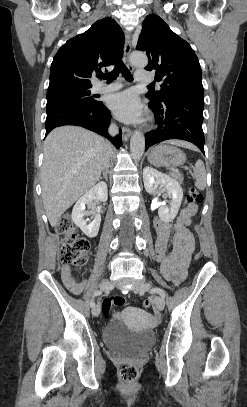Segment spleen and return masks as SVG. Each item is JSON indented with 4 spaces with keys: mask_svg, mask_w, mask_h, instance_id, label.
I'll list each match as a JSON object with an SVG mask.
<instances>
[{
    "mask_svg": "<svg viewBox=\"0 0 247 407\" xmlns=\"http://www.w3.org/2000/svg\"><path fill=\"white\" fill-rule=\"evenodd\" d=\"M193 170L196 178L195 186L199 190H204L206 187V170L204 163L201 160H198Z\"/></svg>",
    "mask_w": 247,
    "mask_h": 407,
    "instance_id": "3e777b00",
    "label": "spleen"
}]
</instances>
